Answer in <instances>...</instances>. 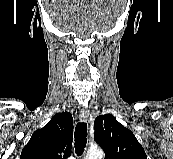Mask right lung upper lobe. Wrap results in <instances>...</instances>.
<instances>
[{"mask_svg": "<svg viewBox=\"0 0 173 159\" xmlns=\"http://www.w3.org/2000/svg\"><path fill=\"white\" fill-rule=\"evenodd\" d=\"M72 141V115L57 113L43 128L32 134L20 159H66L71 155Z\"/></svg>", "mask_w": 173, "mask_h": 159, "instance_id": "cb5924a9", "label": "right lung upper lobe"}]
</instances>
